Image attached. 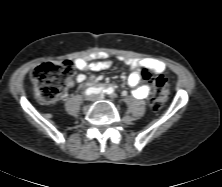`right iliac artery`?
Segmentation results:
<instances>
[{"instance_id":"right-iliac-artery-1","label":"right iliac artery","mask_w":222,"mask_h":187,"mask_svg":"<svg viewBox=\"0 0 222 187\" xmlns=\"http://www.w3.org/2000/svg\"><path fill=\"white\" fill-rule=\"evenodd\" d=\"M102 90H103V87H100V88L90 87L85 91V94L86 95L96 94V93L101 92Z\"/></svg>"}]
</instances>
